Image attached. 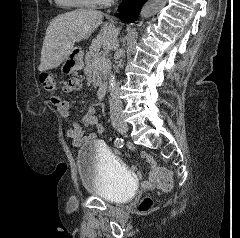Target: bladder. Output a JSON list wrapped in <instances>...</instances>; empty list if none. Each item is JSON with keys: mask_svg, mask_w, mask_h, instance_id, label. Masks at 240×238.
<instances>
[{"mask_svg": "<svg viewBox=\"0 0 240 238\" xmlns=\"http://www.w3.org/2000/svg\"><path fill=\"white\" fill-rule=\"evenodd\" d=\"M76 164L81 185L96 197L124 203L136 192L130 170L102 143L85 142L77 152Z\"/></svg>", "mask_w": 240, "mask_h": 238, "instance_id": "1", "label": "bladder"}]
</instances>
